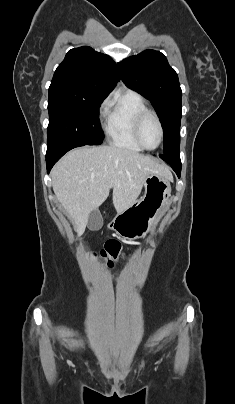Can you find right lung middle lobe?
I'll return each instance as SVG.
<instances>
[{
    "instance_id": "obj_1",
    "label": "right lung middle lobe",
    "mask_w": 235,
    "mask_h": 404,
    "mask_svg": "<svg viewBox=\"0 0 235 404\" xmlns=\"http://www.w3.org/2000/svg\"><path fill=\"white\" fill-rule=\"evenodd\" d=\"M103 98L77 95L64 90H49L48 145L60 140H77L99 145L104 135L99 123Z\"/></svg>"
}]
</instances>
